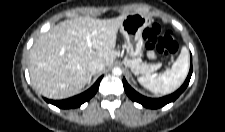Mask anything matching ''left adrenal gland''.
Masks as SVG:
<instances>
[{"mask_svg": "<svg viewBox=\"0 0 225 132\" xmlns=\"http://www.w3.org/2000/svg\"><path fill=\"white\" fill-rule=\"evenodd\" d=\"M132 81H133L134 84H136V81L133 78H132Z\"/></svg>", "mask_w": 225, "mask_h": 132, "instance_id": "a2214340", "label": "left adrenal gland"}]
</instances>
